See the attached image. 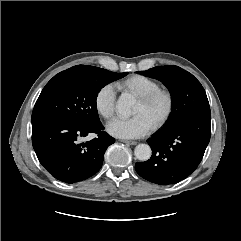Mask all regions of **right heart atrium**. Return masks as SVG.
Here are the masks:
<instances>
[{"label": "right heart atrium", "instance_id": "1", "mask_svg": "<svg viewBox=\"0 0 241 241\" xmlns=\"http://www.w3.org/2000/svg\"><path fill=\"white\" fill-rule=\"evenodd\" d=\"M116 93L111 84L100 88L95 96V107L105 119H110L115 112Z\"/></svg>", "mask_w": 241, "mask_h": 241}]
</instances>
